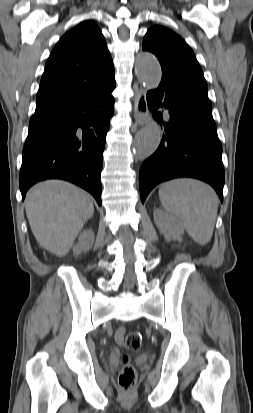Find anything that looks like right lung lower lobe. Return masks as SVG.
I'll list each match as a JSON object with an SVG mask.
<instances>
[{
  "label": "right lung lower lobe",
  "instance_id": "1",
  "mask_svg": "<svg viewBox=\"0 0 253 413\" xmlns=\"http://www.w3.org/2000/svg\"><path fill=\"white\" fill-rule=\"evenodd\" d=\"M112 75L91 97L75 101L51 120L29 130L19 184L22 198L36 182L58 178L89 191L101 205L102 153L114 114Z\"/></svg>",
  "mask_w": 253,
  "mask_h": 413
}]
</instances>
